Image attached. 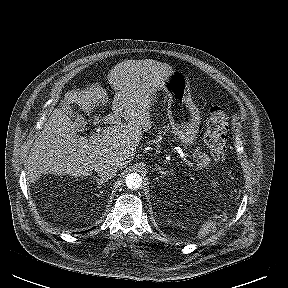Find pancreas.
<instances>
[{"mask_svg":"<svg viewBox=\"0 0 288 288\" xmlns=\"http://www.w3.org/2000/svg\"><path fill=\"white\" fill-rule=\"evenodd\" d=\"M193 157L196 158L197 165L201 169L206 168L210 164V158L206 153L197 150Z\"/></svg>","mask_w":288,"mask_h":288,"instance_id":"pancreas-1","label":"pancreas"}]
</instances>
